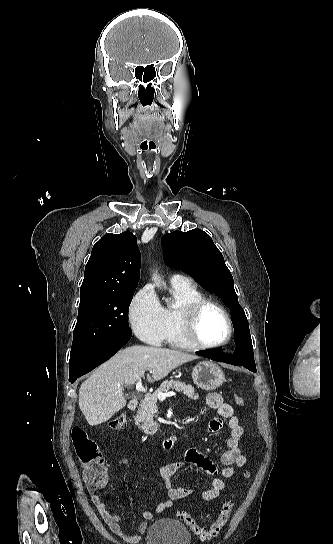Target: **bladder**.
Returning a JSON list of instances; mask_svg holds the SVG:
<instances>
[{"mask_svg":"<svg viewBox=\"0 0 333 544\" xmlns=\"http://www.w3.org/2000/svg\"><path fill=\"white\" fill-rule=\"evenodd\" d=\"M146 544H191L188 529L180 522L162 518L155 521L147 531Z\"/></svg>","mask_w":333,"mask_h":544,"instance_id":"bladder-1","label":"bladder"}]
</instances>
